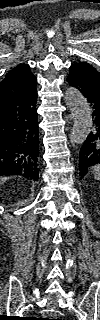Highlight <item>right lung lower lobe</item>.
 Returning a JSON list of instances; mask_svg holds the SVG:
<instances>
[{"label":"right lung lower lobe","instance_id":"98d812e1","mask_svg":"<svg viewBox=\"0 0 100 320\" xmlns=\"http://www.w3.org/2000/svg\"><path fill=\"white\" fill-rule=\"evenodd\" d=\"M36 101L35 86L21 98L0 102V175L39 177Z\"/></svg>","mask_w":100,"mask_h":320}]
</instances>
